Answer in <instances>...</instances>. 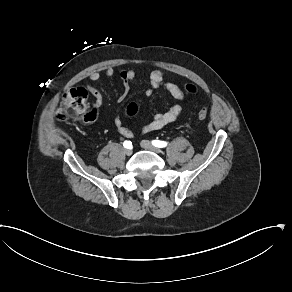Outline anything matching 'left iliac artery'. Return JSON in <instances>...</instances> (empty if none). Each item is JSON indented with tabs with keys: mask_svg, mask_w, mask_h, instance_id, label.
<instances>
[{
	"mask_svg": "<svg viewBox=\"0 0 292 292\" xmlns=\"http://www.w3.org/2000/svg\"><path fill=\"white\" fill-rule=\"evenodd\" d=\"M152 144H153L155 147H158V148H163V147H166V146H167V142H165V141H161V140H153V141H152Z\"/></svg>",
	"mask_w": 292,
	"mask_h": 292,
	"instance_id": "obj_1",
	"label": "left iliac artery"
}]
</instances>
